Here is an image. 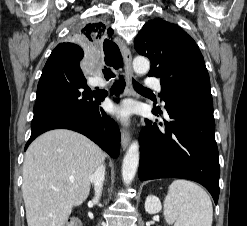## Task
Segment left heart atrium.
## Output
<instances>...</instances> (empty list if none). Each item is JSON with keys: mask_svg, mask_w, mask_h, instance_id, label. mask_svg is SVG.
<instances>
[{"mask_svg": "<svg viewBox=\"0 0 247 226\" xmlns=\"http://www.w3.org/2000/svg\"><path fill=\"white\" fill-rule=\"evenodd\" d=\"M110 112L118 119L125 121L130 115L131 108L130 105L127 103H123L120 105H112L110 107Z\"/></svg>", "mask_w": 247, "mask_h": 226, "instance_id": "1", "label": "left heart atrium"}]
</instances>
